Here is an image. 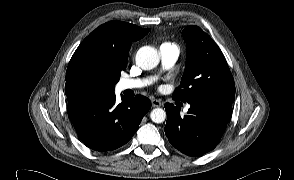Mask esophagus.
I'll list each match as a JSON object with an SVG mask.
<instances>
[{
    "instance_id": "esophagus-1",
    "label": "esophagus",
    "mask_w": 294,
    "mask_h": 180,
    "mask_svg": "<svg viewBox=\"0 0 294 180\" xmlns=\"http://www.w3.org/2000/svg\"><path fill=\"white\" fill-rule=\"evenodd\" d=\"M151 103H152L153 107H160L162 105L161 101H159L157 99H152Z\"/></svg>"
}]
</instances>
